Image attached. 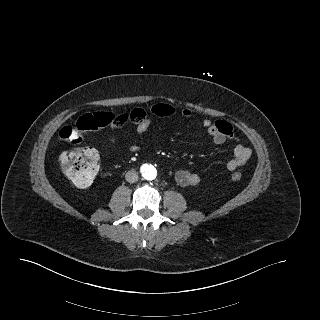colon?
I'll return each mask as SVG.
<instances>
[{
  "mask_svg": "<svg viewBox=\"0 0 320 320\" xmlns=\"http://www.w3.org/2000/svg\"><path fill=\"white\" fill-rule=\"evenodd\" d=\"M122 119V116H114L105 111L85 114L74 124L63 127L59 135L65 142L75 144L81 141L83 132L98 130L119 123ZM59 163L63 172L76 186L85 188L92 184L97 175L99 155L94 148H77L61 154ZM231 177L238 181L241 174L235 172Z\"/></svg>",
  "mask_w": 320,
  "mask_h": 320,
  "instance_id": "obj_1",
  "label": "colon"
}]
</instances>
